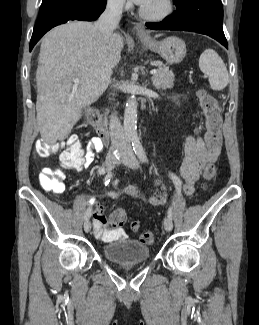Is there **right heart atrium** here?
I'll use <instances>...</instances> for the list:
<instances>
[{"mask_svg": "<svg viewBox=\"0 0 259 325\" xmlns=\"http://www.w3.org/2000/svg\"><path fill=\"white\" fill-rule=\"evenodd\" d=\"M107 4L111 9L120 10L125 7L126 0H107Z\"/></svg>", "mask_w": 259, "mask_h": 325, "instance_id": "1", "label": "right heart atrium"}]
</instances>
